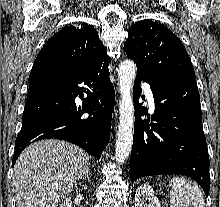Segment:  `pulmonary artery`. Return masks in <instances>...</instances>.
I'll use <instances>...</instances> for the list:
<instances>
[{
    "label": "pulmonary artery",
    "instance_id": "e3ab8cb5",
    "mask_svg": "<svg viewBox=\"0 0 220 207\" xmlns=\"http://www.w3.org/2000/svg\"><path fill=\"white\" fill-rule=\"evenodd\" d=\"M142 86H143V89H144V92H145V95L147 97L150 107L154 108V99H153V94L150 89V86L147 83H143Z\"/></svg>",
    "mask_w": 220,
    "mask_h": 207
}]
</instances>
